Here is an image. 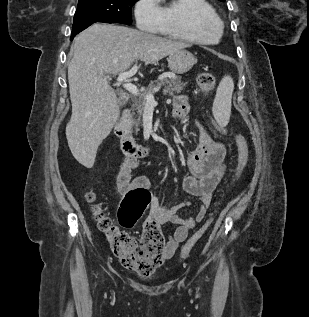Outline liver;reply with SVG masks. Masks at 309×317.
<instances>
[{"label":"liver","mask_w":309,"mask_h":317,"mask_svg":"<svg viewBox=\"0 0 309 317\" xmlns=\"http://www.w3.org/2000/svg\"><path fill=\"white\" fill-rule=\"evenodd\" d=\"M187 47L181 41L101 23L75 38L68 65L72 115L66 137L80 164L87 168L94 165L99 145L120 116V103L107 76L125 72L136 59L154 64Z\"/></svg>","instance_id":"obj_1"}]
</instances>
